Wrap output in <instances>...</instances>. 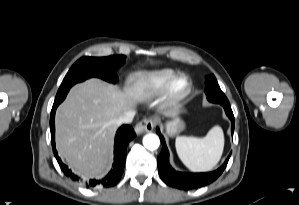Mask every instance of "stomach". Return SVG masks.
Here are the masks:
<instances>
[{
  "instance_id": "0dacf381",
  "label": "stomach",
  "mask_w": 299,
  "mask_h": 205,
  "mask_svg": "<svg viewBox=\"0 0 299 205\" xmlns=\"http://www.w3.org/2000/svg\"><path fill=\"white\" fill-rule=\"evenodd\" d=\"M185 128L184 122L176 117L166 124V132L170 136H174Z\"/></svg>"
}]
</instances>
